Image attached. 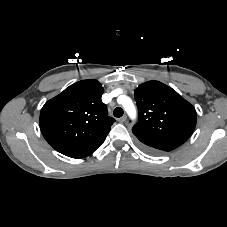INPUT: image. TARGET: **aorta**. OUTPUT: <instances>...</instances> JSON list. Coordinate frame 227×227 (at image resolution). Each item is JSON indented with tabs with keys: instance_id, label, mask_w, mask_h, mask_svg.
I'll return each instance as SVG.
<instances>
[{
	"instance_id": "aorta-1",
	"label": "aorta",
	"mask_w": 227,
	"mask_h": 227,
	"mask_svg": "<svg viewBox=\"0 0 227 227\" xmlns=\"http://www.w3.org/2000/svg\"><path fill=\"white\" fill-rule=\"evenodd\" d=\"M123 98L124 100L122 104L124 106L125 111L127 112L131 119H134L136 117V110L134 104L132 103V100L127 96H124Z\"/></svg>"
}]
</instances>
